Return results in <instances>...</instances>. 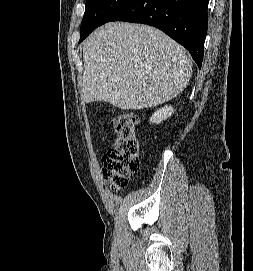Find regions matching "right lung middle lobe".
Returning a JSON list of instances; mask_svg holds the SVG:
<instances>
[{"mask_svg":"<svg viewBox=\"0 0 253 271\" xmlns=\"http://www.w3.org/2000/svg\"><path fill=\"white\" fill-rule=\"evenodd\" d=\"M131 0H86L80 41L100 25L111 21Z\"/></svg>","mask_w":253,"mask_h":271,"instance_id":"dd1d6c3e","label":"right lung middle lobe"}]
</instances>
